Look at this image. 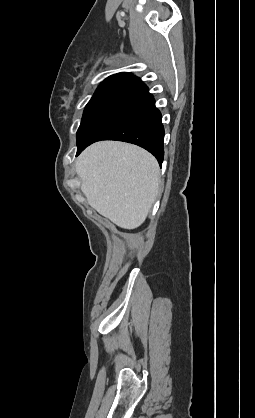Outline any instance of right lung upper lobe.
I'll return each instance as SVG.
<instances>
[{
    "mask_svg": "<svg viewBox=\"0 0 255 418\" xmlns=\"http://www.w3.org/2000/svg\"><path fill=\"white\" fill-rule=\"evenodd\" d=\"M139 82H141V79L136 76L127 72H122L109 76L101 83V85H113L127 88Z\"/></svg>",
    "mask_w": 255,
    "mask_h": 418,
    "instance_id": "obj_1",
    "label": "right lung upper lobe"
}]
</instances>
